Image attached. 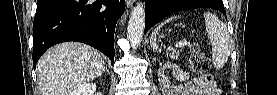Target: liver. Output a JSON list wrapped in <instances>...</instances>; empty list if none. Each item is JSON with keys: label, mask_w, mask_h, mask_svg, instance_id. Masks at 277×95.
Listing matches in <instances>:
<instances>
[{"label": "liver", "mask_w": 277, "mask_h": 95, "mask_svg": "<svg viewBox=\"0 0 277 95\" xmlns=\"http://www.w3.org/2000/svg\"><path fill=\"white\" fill-rule=\"evenodd\" d=\"M101 53L82 43L66 42L50 48L39 59L37 70L42 95H72L79 86L105 71Z\"/></svg>", "instance_id": "obj_1"}]
</instances>
